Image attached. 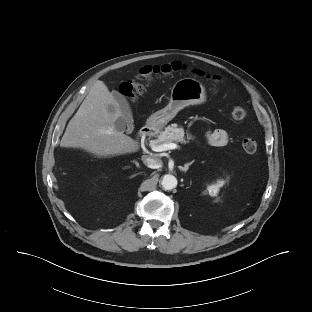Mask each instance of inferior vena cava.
Listing matches in <instances>:
<instances>
[{
    "label": "inferior vena cava",
    "instance_id": "1",
    "mask_svg": "<svg viewBox=\"0 0 312 312\" xmlns=\"http://www.w3.org/2000/svg\"><path fill=\"white\" fill-rule=\"evenodd\" d=\"M142 161L147 167L151 169H157L162 166V160L159 158H151L146 155H143Z\"/></svg>",
    "mask_w": 312,
    "mask_h": 312
}]
</instances>
